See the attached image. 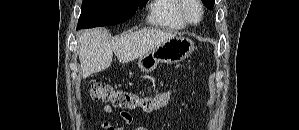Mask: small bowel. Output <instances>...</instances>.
Listing matches in <instances>:
<instances>
[{"instance_id": "obj_1", "label": "small bowel", "mask_w": 299, "mask_h": 130, "mask_svg": "<svg viewBox=\"0 0 299 130\" xmlns=\"http://www.w3.org/2000/svg\"><path fill=\"white\" fill-rule=\"evenodd\" d=\"M185 109L188 113H192L193 112V108H192V104L189 100H187L185 102ZM103 110L106 114L108 115H115V111L113 110V108L109 105H105L103 107ZM118 117L126 124H130L132 121L131 115L128 112L122 111L118 114ZM133 130H148L145 126L142 125H136L132 127ZM101 130H125V127L123 126H113L108 122H104L101 124Z\"/></svg>"}]
</instances>
